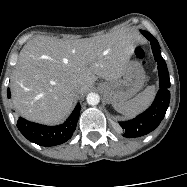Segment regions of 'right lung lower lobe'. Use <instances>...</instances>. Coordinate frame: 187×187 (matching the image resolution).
I'll return each mask as SVG.
<instances>
[{
	"mask_svg": "<svg viewBox=\"0 0 187 187\" xmlns=\"http://www.w3.org/2000/svg\"><path fill=\"white\" fill-rule=\"evenodd\" d=\"M8 98L11 97L10 89L7 92ZM80 114V104L78 103L67 119L59 126H45L36 124L20 117L17 122L19 131L31 142L40 146H55L69 140L76 129Z\"/></svg>",
	"mask_w": 187,
	"mask_h": 187,
	"instance_id": "right-lung-lower-lobe-1",
	"label": "right lung lower lobe"
}]
</instances>
